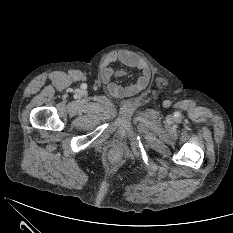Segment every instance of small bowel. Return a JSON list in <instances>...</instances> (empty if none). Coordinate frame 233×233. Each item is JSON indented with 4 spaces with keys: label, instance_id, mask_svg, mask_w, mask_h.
Here are the masks:
<instances>
[{
    "label": "small bowel",
    "instance_id": "c3829d8e",
    "mask_svg": "<svg viewBox=\"0 0 233 233\" xmlns=\"http://www.w3.org/2000/svg\"><path fill=\"white\" fill-rule=\"evenodd\" d=\"M121 63L127 67L138 69L141 74L133 82L123 86L113 80L124 75L123 71H115L113 65ZM151 73L148 65L137 55L127 51L110 54L100 69V78L106 85L108 92L116 98L133 96L145 89L150 81Z\"/></svg>",
    "mask_w": 233,
    "mask_h": 233
}]
</instances>
